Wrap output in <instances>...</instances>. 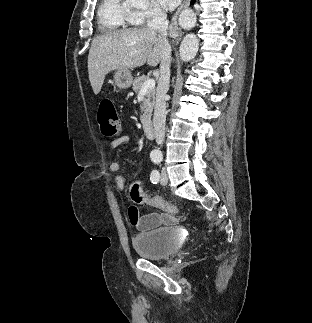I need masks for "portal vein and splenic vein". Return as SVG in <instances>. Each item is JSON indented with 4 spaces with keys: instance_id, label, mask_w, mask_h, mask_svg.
Instances as JSON below:
<instances>
[{
    "instance_id": "1",
    "label": "portal vein and splenic vein",
    "mask_w": 312,
    "mask_h": 323,
    "mask_svg": "<svg viewBox=\"0 0 312 323\" xmlns=\"http://www.w3.org/2000/svg\"><path fill=\"white\" fill-rule=\"evenodd\" d=\"M154 86H155V80H147V82L143 84L139 94H145L147 90H150V88H154Z\"/></svg>"
}]
</instances>
